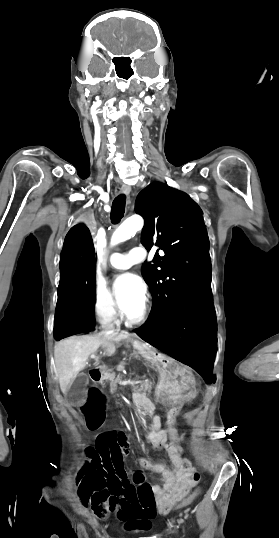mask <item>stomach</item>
I'll use <instances>...</instances> for the list:
<instances>
[{
    "label": "stomach",
    "mask_w": 279,
    "mask_h": 538,
    "mask_svg": "<svg viewBox=\"0 0 279 538\" xmlns=\"http://www.w3.org/2000/svg\"><path fill=\"white\" fill-rule=\"evenodd\" d=\"M149 362L160 374L154 384V397L162 401L164 408H169L174 402L176 407L186 405L182 399L192 401L196 395V388L190 378L191 369L186 363H178L176 358H169L168 353H150ZM158 364H161L158 370Z\"/></svg>",
    "instance_id": "1"
}]
</instances>
